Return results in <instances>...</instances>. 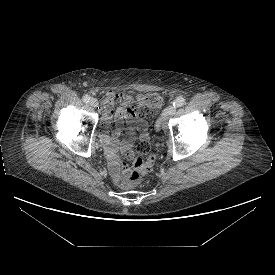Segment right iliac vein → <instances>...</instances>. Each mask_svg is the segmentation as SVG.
Here are the masks:
<instances>
[{"label":"right iliac vein","mask_w":275,"mask_h":275,"mask_svg":"<svg viewBox=\"0 0 275 275\" xmlns=\"http://www.w3.org/2000/svg\"><path fill=\"white\" fill-rule=\"evenodd\" d=\"M89 104L91 107L93 108H96L98 106V100L95 99V98H92L90 101H89Z\"/></svg>","instance_id":"63e3f726"}]
</instances>
